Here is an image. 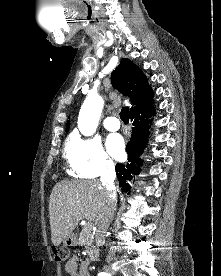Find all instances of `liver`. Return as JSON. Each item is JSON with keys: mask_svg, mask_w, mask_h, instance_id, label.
<instances>
[{"mask_svg": "<svg viewBox=\"0 0 221 276\" xmlns=\"http://www.w3.org/2000/svg\"><path fill=\"white\" fill-rule=\"evenodd\" d=\"M108 194L98 180L62 181L49 200L51 240L58 246L82 219L98 222L104 214Z\"/></svg>", "mask_w": 221, "mask_h": 276, "instance_id": "6515ba94", "label": "liver"}]
</instances>
